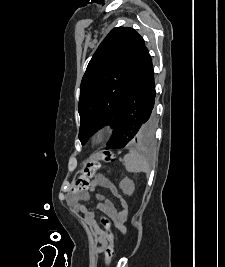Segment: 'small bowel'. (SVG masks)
I'll return each instance as SVG.
<instances>
[{
	"instance_id": "c3829d8e",
	"label": "small bowel",
	"mask_w": 225,
	"mask_h": 267,
	"mask_svg": "<svg viewBox=\"0 0 225 267\" xmlns=\"http://www.w3.org/2000/svg\"><path fill=\"white\" fill-rule=\"evenodd\" d=\"M103 187L109 189L113 195L119 198L121 209H116L113 203L110 200H104L99 197V202L97 208L108 213L116 227L120 230L121 233L126 232V227L124 222L127 216V204L124 199L120 196L118 189L113 184L111 179L103 174H98L94 180L91 182L88 191L84 193H74L70 194L67 198V202L71 205L76 211L83 214L88 224H90L95 229V240L100 244L97 248L99 253H102L107 245V238L105 231L101 230L96 223L95 213L90 211L84 204L80 203L81 200H88L91 193H94L97 188Z\"/></svg>"
}]
</instances>
